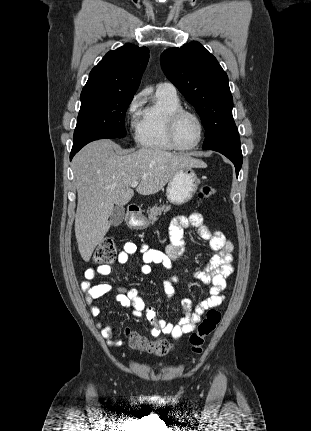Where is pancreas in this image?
Returning <instances> with one entry per match:
<instances>
[{
	"label": "pancreas",
	"mask_w": 311,
	"mask_h": 431,
	"mask_svg": "<svg viewBox=\"0 0 311 431\" xmlns=\"http://www.w3.org/2000/svg\"><path fill=\"white\" fill-rule=\"evenodd\" d=\"M169 210H171V206H168V204H165V206H153V208H148L147 214L150 219L149 223H155L158 219L157 216H162V214H166Z\"/></svg>",
	"instance_id": "pancreas-1"
}]
</instances>
